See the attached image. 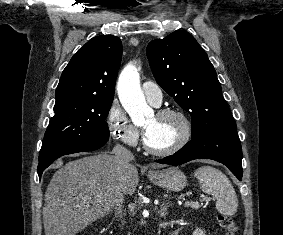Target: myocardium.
Instances as JSON below:
<instances>
[{"instance_id": "myocardium-1", "label": "myocardium", "mask_w": 283, "mask_h": 235, "mask_svg": "<svg viewBox=\"0 0 283 235\" xmlns=\"http://www.w3.org/2000/svg\"><path fill=\"white\" fill-rule=\"evenodd\" d=\"M157 117L164 118V117H176L180 120L182 124V132L178 138V140L171 145L170 147L166 149H156L150 146V144L147 142L146 137L143 139V145L145 150L155 156H170L178 151H180L183 147H185L188 142L191 140L192 137V123L189 119V117L181 110L179 109H173V108H164L159 110L156 113Z\"/></svg>"}]
</instances>
